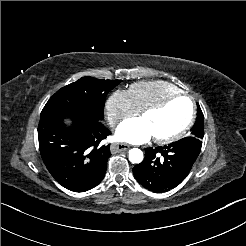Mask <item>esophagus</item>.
Segmentation results:
<instances>
[{
	"label": "esophagus",
	"mask_w": 246,
	"mask_h": 246,
	"mask_svg": "<svg viewBox=\"0 0 246 246\" xmlns=\"http://www.w3.org/2000/svg\"><path fill=\"white\" fill-rule=\"evenodd\" d=\"M128 149H129V145L124 143H113L110 147L111 153L113 154L126 151Z\"/></svg>",
	"instance_id": "obj_1"
}]
</instances>
